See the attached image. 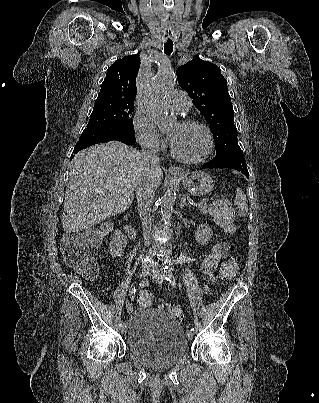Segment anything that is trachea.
I'll return each instance as SVG.
<instances>
[{
	"instance_id": "obj_1",
	"label": "trachea",
	"mask_w": 319,
	"mask_h": 403,
	"mask_svg": "<svg viewBox=\"0 0 319 403\" xmlns=\"http://www.w3.org/2000/svg\"><path fill=\"white\" fill-rule=\"evenodd\" d=\"M173 51V41L168 38V40L164 44V53L166 55H170Z\"/></svg>"
}]
</instances>
